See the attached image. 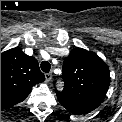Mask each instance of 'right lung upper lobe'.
<instances>
[{"label":"right lung upper lobe","instance_id":"cb5924a9","mask_svg":"<svg viewBox=\"0 0 122 122\" xmlns=\"http://www.w3.org/2000/svg\"><path fill=\"white\" fill-rule=\"evenodd\" d=\"M44 80L38 61L20 48L1 53V107L22 102L32 87Z\"/></svg>","mask_w":122,"mask_h":122}]
</instances>
